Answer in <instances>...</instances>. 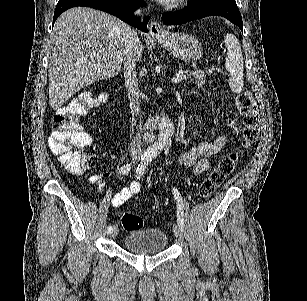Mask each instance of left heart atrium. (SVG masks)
Returning <instances> with one entry per match:
<instances>
[{
	"label": "left heart atrium",
	"instance_id": "obj_1",
	"mask_svg": "<svg viewBox=\"0 0 307 301\" xmlns=\"http://www.w3.org/2000/svg\"><path fill=\"white\" fill-rule=\"evenodd\" d=\"M178 0H161L162 4H177Z\"/></svg>",
	"mask_w": 307,
	"mask_h": 301
}]
</instances>
